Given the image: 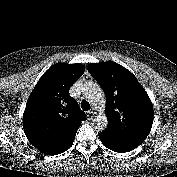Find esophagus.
Masks as SVG:
<instances>
[{
	"instance_id": "esophagus-1",
	"label": "esophagus",
	"mask_w": 177,
	"mask_h": 177,
	"mask_svg": "<svg viewBox=\"0 0 177 177\" xmlns=\"http://www.w3.org/2000/svg\"><path fill=\"white\" fill-rule=\"evenodd\" d=\"M93 116H94V112L93 111H91V110L87 111V117H88L89 120H92Z\"/></svg>"
}]
</instances>
